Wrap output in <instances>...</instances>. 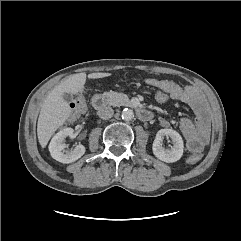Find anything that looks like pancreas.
Masks as SVG:
<instances>
[{"instance_id":"obj_1","label":"pancreas","mask_w":241,"mask_h":241,"mask_svg":"<svg viewBox=\"0 0 241 241\" xmlns=\"http://www.w3.org/2000/svg\"><path fill=\"white\" fill-rule=\"evenodd\" d=\"M103 95L107 98L108 103L112 106H122L129 103V98L124 93L110 91L105 92Z\"/></svg>"}]
</instances>
